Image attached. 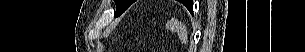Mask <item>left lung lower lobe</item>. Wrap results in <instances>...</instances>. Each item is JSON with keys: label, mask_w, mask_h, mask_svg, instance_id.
I'll use <instances>...</instances> for the list:
<instances>
[{"label": "left lung lower lobe", "mask_w": 305, "mask_h": 52, "mask_svg": "<svg viewBox=\"0 0 305 52\" xmlns=\"http://www.w3.org/2000/svg\"><path fill=\"white\" fill-rule=\"evenodd\" d=\"M187 8L192 11V2H190V4L187 6Z\"/></svg>", "instance_id": "0a47b994"}]
</instances>
